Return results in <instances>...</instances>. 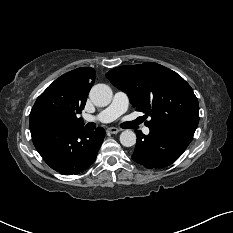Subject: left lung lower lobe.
Segmentation results:
<instances>
[{"label":"left lung lower lobe","mask_w":233,"mask_h":233,"mask_svg":"<svg viewBox=\"0 0 233 233\" xmlns=\"http://www.w3.org/2000/svg\"><path fill=\"white\" fill-rule=\"evenodd\" d=\"M132 159L146 168H162L175 162L185 151L193 133L176 129H150L148 136L136 131Z\"/></svg>","instance_id":"obj_1"}]
</instances>
